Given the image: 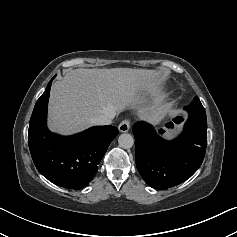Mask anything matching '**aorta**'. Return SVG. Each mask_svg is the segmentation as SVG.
Segmentation results:
<instances>
[{
	"label": "aorta",
	"instance_id": "obj_1",
	"mask_svg": "<svg viewBox=\"0 0 237 237\" xmlns=\"http://www.w3.org/2000/svg\"><path fill=\"white\" fill-rule=\"evenodd\" d=\"M119 146L123 149H130L134 145V139L132 135L123 133L118 138Z\"/></svg>",
	"mask_w": 237,
	"mask_h": 237
}]
</instances>
